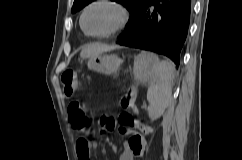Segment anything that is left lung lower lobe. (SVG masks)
I'll return each mask as SVG.
<instances>
[{"label": "left lung lower lobe", "instance_id": "obj_1", "mask_svg": "<svg viewBox=\"0 0 242 160\" xmlns=\"http://www.w3.org/2000/svg\"><path fill=\"white\" fill-rule=\"evenodd\" d=\"M190 14L191 0H148L130 30L121 34L117 43L165 55L179 65Z\"/></svg>", "mask_w": 242, "mask_h": 160}]
</instances>
